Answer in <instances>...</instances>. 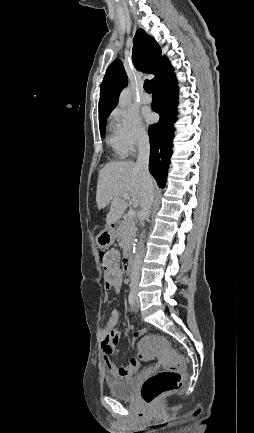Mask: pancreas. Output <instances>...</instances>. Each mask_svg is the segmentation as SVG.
<instances>
[{
  "mask_svg": "<svg viewBox=\"0 0 254 433\" xmlns=\"http://www.w3.org/2000/svg\"><path fill=\"white\" fill-rule=\"evenodd\" d=\"M136 231L137 227L133 219L127 218L120 222L117 236L123 248L132 244Z\"/></svg>",
  "mask_w": 254,
  "mask_h": 433,
  "instance_id": "cf45deb5",
  "label": "pancreas"
}]
</instances>
